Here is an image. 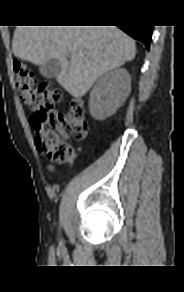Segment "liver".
I'll use <instances>...</instances> for the list:
<instances>
[{
  "label": "liver",
  "mask_w": 184,
  "mask_h": 292,
  "mask_svg": "<svg viewBox=\"0 0 184 292\" xmlns=\"http://www.w3.org/2000/svg\"><path fill=\"white\" fill-rule=\"evenodd\" d=\"M12 49L15 57L35 65L59 61L56 80L75 98L136 54L134 40L116 26H17Z\"/></svg>",
  "instance_id": "obj_1"
}]
</instances>
